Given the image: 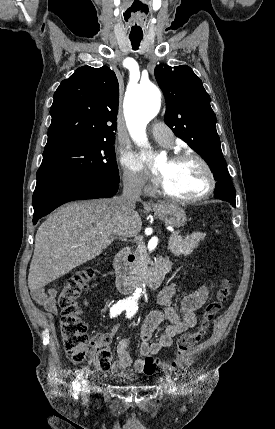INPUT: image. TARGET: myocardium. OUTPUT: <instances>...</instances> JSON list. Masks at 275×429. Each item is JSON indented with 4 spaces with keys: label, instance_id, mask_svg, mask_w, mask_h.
<instances>
[{
    "label": "myocardium",
    "instance_id": "obj_1",
    "mask_svg": "<svg viewBox=\"0 0 275 429\" xmlns=\"http://www.w3.org/2000/svg\"><path fill=\"white\" fill-rule=\"evenodd\" d=\"M190 159L197 161L203 167L208 181L206 190L202 194L194 197H179L171 194L161 185L160 192L165 198L178 203L191 204V203H197V202L203 201L213 194L216 187L215 174L211 166L209 165V163L201 155L195 152H188V151L178 152L171 157L170 161L180 162V161L190 160Z\"/></svg>",
    "mask_w": 275,
    "mask_h": 429
}]
</instances>
